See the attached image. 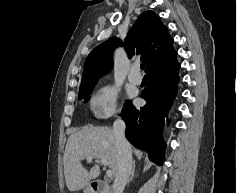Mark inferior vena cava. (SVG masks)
Returning a JSON list of instances; mask_svg holds the SVG:
<instances>
[{
    "label": "inferior vena cava",
    "mask_w": 237,
    "mask_h": 193,
    "mask_svg": "<svg viewBox=\"0 0 237 193\" xmlns=\"http://www.w3.org/2000/svg\"><path fill=\"white\" fill-rule=\"evenodd\" d=\"M125 129V122L121 118H117L113 123L118 150V167L113 184L114 193H123L132 170L131 146L125 138Z\"/></svg>",
    "instance_id": "1"
}]
</instances>
